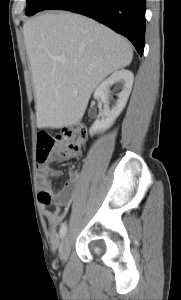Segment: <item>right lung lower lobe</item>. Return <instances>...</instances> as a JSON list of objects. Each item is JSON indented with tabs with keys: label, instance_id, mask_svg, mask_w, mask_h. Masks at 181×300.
<instances>
[{
	"label": "right lung lower lobe",
	"instance_id": "98d812e1",
	"mask_svg": "<svg viewBox=\"0 0 181 300\" xmlns=\"http://www.w3.org/2000/svg\"><path fill=\"white\" fill-rule=\"evenodd\" d=\"M47 9L91 17L127 37L142 55L145 45V0H56Z\"/></svg>",
	"mask_w": 181,
	"mask_h": 300
}]
</instances>
